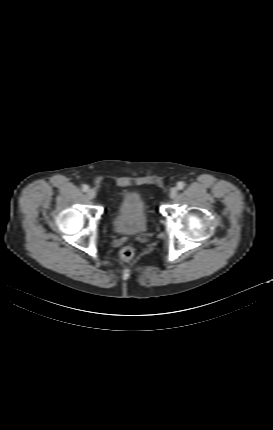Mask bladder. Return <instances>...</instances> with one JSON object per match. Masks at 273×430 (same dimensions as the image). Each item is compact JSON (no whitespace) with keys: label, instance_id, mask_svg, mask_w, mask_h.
<instances>
[{"label":"bladder","instance_id":"1","mask_svg":"<svg viewBox=\"0 0 273 430\" xmlns=\"http://www.w3.org/2000/svg\"><path fill=\"white\" fill-rule=\"evenodd\" d=\"M112 223L122 235H141L147 231L146 205L138 193L127 192L123 195Z\"/></svg>","mask_w":273,"mask_h":430}]
</instances>
